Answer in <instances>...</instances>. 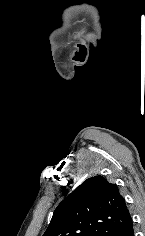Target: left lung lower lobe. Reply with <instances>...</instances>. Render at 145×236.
I'll list each match as a JSON object with an SVG mask.
<instances>
[{"label": "left lung lower lobe", "instance_id": "1", "mask_svg": "<svg viewBox=\"0 0 145 236\" xmlns=\"http://www.w3.org/2000/svg\"><path fill=\"white\" fill-rule=\"evenodd\" d=\"M116 236H134L133 221H130L117 233Z\"/></svg>", "mask_w": 145, "mask_h": 236}]
</instances>
